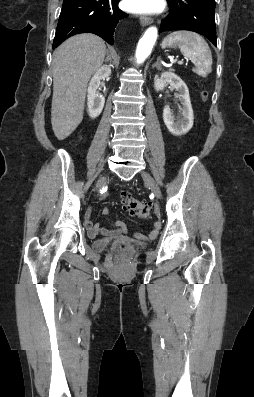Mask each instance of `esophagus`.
<instances>
[{"instance_id":"esophagus-1","label":"esophagus","mask_w":254,"mask_h":397,"mask_svg":"<svg viewBox=\"0 0 254 397\" xmlns=\"http://www.w3.org/2000/svg\"><path fill=\"white\" fill-rule=\"evenodd\" d=\"M152 18H150V17H146V16H141L140 17V24L142 25V26H147V25H149V24H151L152 23Z\"/></svg>"}]
</instances>
